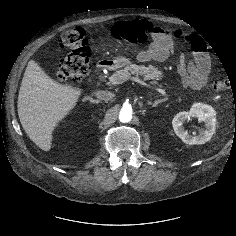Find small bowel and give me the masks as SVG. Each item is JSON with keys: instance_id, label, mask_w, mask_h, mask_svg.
<instances>
[{"instance_id": "c3829d8e", "label": "small bowel", "mask_w": 236, "mask_h": 236, "mask_svg": "<svg viewBox=\"0 0 236 236\" xmlns=\"http://www.w3.org/2000/svg\"><path fill=\"white\" fill-rule=\"evenodd\" d=\"M178 42H183L191 48L189 57L181 52L178 56L177 66L182 88L200 89L209 79L210 61L204 50L203 41L181 29L165 30L154 25L152 42L148 48L138 53L140 62H164L174 53Z\"/></svg>"}]
</instances>
